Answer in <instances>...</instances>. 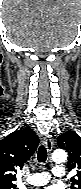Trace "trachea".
<instances>
[{
	"mask_svg": "<svg viewBox=\"0 0 81 189\" xmlns=\"http://www.w3.org/2000/svg\"><path fill=\"white\" fill-rule=\"evenodd\" d=\"M37 159L39 163H45L47 159V150L45 146L41 145L38 149Z\"/></svg>",
	"mask_w": 81,
	"mask_h": 189,
	"instance_id": "1",
	"label": "trachea"
}]
</instances>
